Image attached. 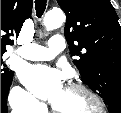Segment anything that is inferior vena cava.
I'll return each mask as SVG.
<instances>
[{
	"label": "inferior vena cava",
	"instance_id": "602c4592",
	"mask_svg": "<svg viewBox=\"0 0 121 113\" xmlns=\"http://www.w3.org/2000/svg\"><path fill=\"white\" fill-rule=\"evenodd\" d=\"M12 113H18V112L16 111V109H13Z\"/></svg>",
	"mask_w": 121,
	"mask_h": 113
}]
</instances>
